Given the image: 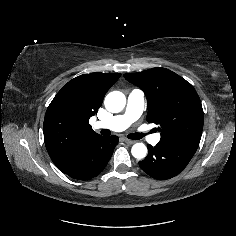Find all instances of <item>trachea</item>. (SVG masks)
I'll list each match as a JSON object with an SVG mask.
<instances>
[{"mask_svg":"<svg viewBox=\"0 0 236 236\" xmlns=\"http://www.w3.org/2000/svg\"><path fill=\"white\" fill-rule=\"evenodd\" d=\"M102 134L105 135V136H107V135L110 134V131L107 130V129H104V130H102ZM143 136H144L143 133H132V134H129L127 137H128L129 139L139 140V139H141Z\"/></svg>","mask_w":236,"mask_h":236,"instance_id":"obj_1","label":"trachea"}]
</instances>
